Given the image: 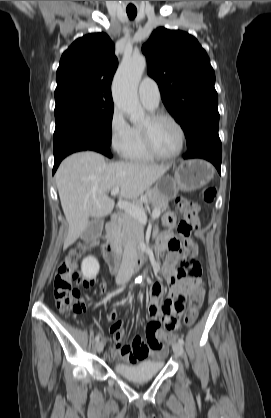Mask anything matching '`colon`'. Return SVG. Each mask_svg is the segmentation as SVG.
Returning a JSON list of instances; mask_svg holds the SVG:
<instances>
[{
	"instance_id": "obj_1",
	"label": "colon",
	"mask_w": 271,
	"mask_h": 418,
	"mask_svg": "<svg viewBox=\"0 0 271 418\" xmlns=\"http://www.w3.org/2000/svg\"><path fill=\"white\" fill-rule=\"evenodd\" d=\"M216 190L214 188H207L203 197L206 202H212L215 198ZM177 205L182 219L178 224L179 234L188 239L192 232L199 226V211L200 206L197 202L179 197ZM96 233L97 229L93 230ZM169 249L174 252H179L182 249L181 243L176 239H170L168 242ZM188 255L182 260L181 268L178 271L179 276H186L192 278H199L201 275L200 262L191 255L192 247L190 244L186 245ZM83 280L79 277L75 269V252H72L67 260L61 265L54 281V296L58 309L65 314L72 316H79L85 311V302L81 297L80 291L73 286L74 282ZM204 297V288L201 284L194 292L191 300V308L185 317V324L192 325L197 317V311L200 308ZM178 306H184L183 298L177 300ZM170 328V326H167Z\"/></svg>"
}]
</instances>
